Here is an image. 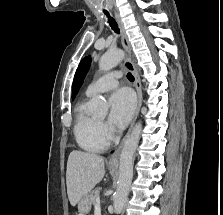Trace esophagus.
I'll list each match as a JSON object with an SVG mask.
<instances>
[{"mask_svg": "<svg viewBox=\"0 0 223 215\" xmlns=\"http://www.w3.org/2000/svg\"><path fill=\"white\" fill-rule=\"evenodd\" d=\"M115 17H116V20L118 22V25H119L120 31H121L122 45H123V48L127 54L123 64H124V67L134 75V77H135L134 85H135V88L137 91V106H136V110H135L130 128L126 134V136H127L129 134V132L131 131V129L137 119V116L139 114V110H140L141 103H142V87H141V80H140L138 71L134 65V62L132 61V58H131V45H130L126 30L124 27V24H123L120 16L118 15V13H116V12H115ZM126 136L123 138V140L120 142L118 147L115 149L114 153H112V155H110L109 160H108V167L118 166L120 151L123 147Z\"/></svg>", "mask_w": 223, "mask_h": 215, "instance_id": "1", "label": "esophagus"}]
</instances>
